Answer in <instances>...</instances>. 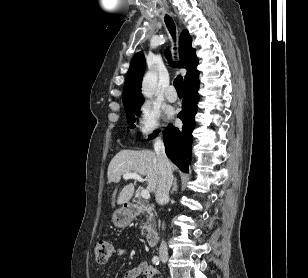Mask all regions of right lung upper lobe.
<instances>
[{
  "label": "right lung upper lobe",
  "instance_id": "obj_1",
  "mask_svg": "<svg viewBox=\"0 0 308 278\" xmlns=\"http://www.w3.org/2000/svg\"><path fill=\"white\" fill-rule=\"evenodd\" d=\"M191 43L192 39L188 31L184 30L179 38L180 62L174 66L187 69V74L184 79L185 86L192 80L199 78V72L196 69L198 58L195 55V49L192 48ZM166 56L170 59L169 51H166ZM144 70V55L142 52H138L131 61L124 84L122 101L125 109L141 106L144 102V98L140 93Z\"/></svg>",
  "mask_w": 308,
  "mask_h": 278
}]
</instances>
